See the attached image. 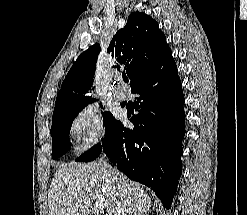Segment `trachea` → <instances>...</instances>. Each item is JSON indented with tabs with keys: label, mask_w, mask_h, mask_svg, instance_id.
Segmentation results:
<instances>
[{
	"label": "trachea",
	"mask_w": 247,
	"mask_h": 215,
	"mask_svg": "<svg viewBox=\"0 0 247 215\" xmlns=\"http://www.w3.org/2000/svg\"><path fill=\"white\" fill-rule=\"evenodd\" d=\"M123 80H124L125 83L129 82V79L127 77H123Z\"/></svg>",
	"instance_id": "trachea-1"
}]
</instances>
